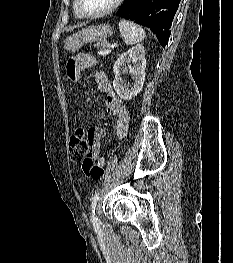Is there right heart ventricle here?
Listing matches in <instances>:
<instances>
[{"mask_svg":"<svg viewBox=\"0 0 233 263\" xmlns=\"http://www.w3.org/2000/svg\"><path fill=\"white\" fill-rule=\"evenodd\" d=\"M74 12L77 18H81V16L79 15L77 9H76V4L74 5Z\"/></svg>","mask_w":233,"mask_h":263,"instance_id":"e07e8e85","label":"right heart ventricle"}]
</instances>
